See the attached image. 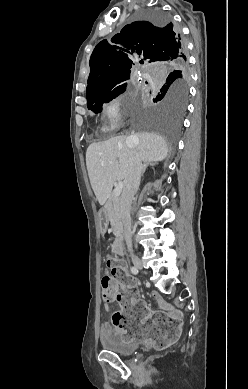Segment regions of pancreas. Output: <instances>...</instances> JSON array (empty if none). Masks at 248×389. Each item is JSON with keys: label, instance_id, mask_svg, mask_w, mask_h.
Here are the masks:
<instances>
[{"label": "pancreas", "instance_id": "1", "mask_svg": "<svg viewBox=\"0 0 248 389\" xmlns=\"http://www.w3.org/2000/svg\"><path fill=\"white\" fill-rule=\"evenodd\" d=\"M104 211L107 221L111 224L113 234L119 239L122 236L123 226L119 209V197H115L114 193L111 194L104 205Z\"/></svg>", "mask_w": 248, "mask_h": 389}]
</instances>
